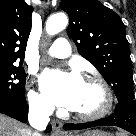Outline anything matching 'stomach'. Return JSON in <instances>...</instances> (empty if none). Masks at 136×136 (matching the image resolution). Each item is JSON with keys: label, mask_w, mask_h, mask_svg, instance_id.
Segmentation results:
<instances>
[{"label": "stomach", "mask_w": 136, "mask_h": 136, "mask_svg": "<svg viewBox=\"0 0 136 136\" xmlns=\"http://www.w3.org/2000/svg\"><path fill=\"white\" fill-rule=\"evenodd\" d=\"M70 136H73V135H70ZM78 136H111V135L100 130H88Z\"/></svg>", "instance_id": "stomach-1"}]
</instances>
